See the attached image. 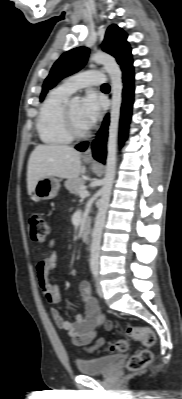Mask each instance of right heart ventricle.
Masks as SVG:
<instances>
[{
    "label": "right heart ventricle",
    "mask_w": 182,
    "mask_h": 399,
    "mask_svg": "<svg viewBox=\"0 0 182 399\" xmlns=\"http://www.w3.org/2000/svg\"><path fill=\"white\" fill-rule=\"evenodd\" d=\"M70 94L59 86L53 89L44 100L37 120V131L44 143L61 145L71 141L63 116Z\"/></svg>",
    "instance_id": "right-heart-ventricle-1"
}]
</instances>
